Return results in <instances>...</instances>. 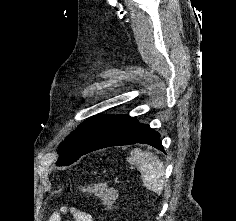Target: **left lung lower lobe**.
<instances>
[{"instance_id":"0a47b994","label":"left lung lower lobe","mask_w":236,"mask_h":221,"mask_svg":"<svg viewBox=\"0 0 236 221\" xmlns=\"http://www.w3.org/2000/svg\"><path fill=\"white\" fill-rule=\"evenodd\" d=\"M159 137V133L148 125L139 123L135 118L128 115H109L77 159L101 148L134 143L149 144L164 151Z\"/></svg>"}]
</instances>
